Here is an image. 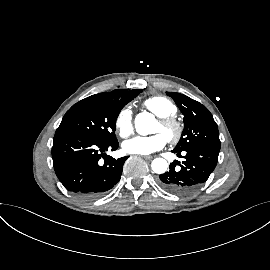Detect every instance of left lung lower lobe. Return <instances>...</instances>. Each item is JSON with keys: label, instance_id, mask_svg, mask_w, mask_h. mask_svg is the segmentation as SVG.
Instances as JSON below:
<instances>
[{"label": "left lung lower lobe", "instance_id": "1", "mask_svg": "<svg viewBox=\"0 0 270 270\" xmlns=\"http://www.w3.org/2000/svg\"><path fill=\"white\" fill-rule=\"evenodd\" d=\"M173 152L183 160L171 163L169 171L160 175L159 184L178 195L192 193L202 186L215 169L219 155V151L201 147Z\"/></svg>", "mask_w": 270, "mask_h": 270}]
</instances>
